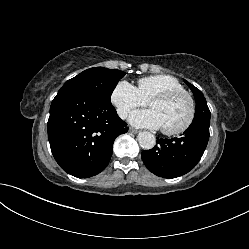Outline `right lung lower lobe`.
I'll return each mask as SVG.
<instances>
[{"label": "right lung lower lobe", "instance_id": "98d812e1", "mask_svg": "<svg viewBox=\"0 0 249 249\" xmlns=\"http://www.w3.org/2000/svg\"><path fill=\"white\" fill-rule=\"evenodd\" d=\"M52 154L68 174L100 173L112 156L115 138L128 131L111 104L75 89H60L47 124Z\"/></svg>", "mask_w": 249, "mask_h": 249}]
</instances>
